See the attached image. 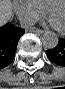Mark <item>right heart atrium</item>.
<instances>
[{
  "instance_id": "d8ad5b80",
  "label": "right heart atrium",
  "mask_w": 65,
  "mask_h": 89,
  "mask_svg": "<svg viewBox=\"0 0 65 89\" xmlns=\"http://www.w3.org/2000/svg\"><path fill=\"white\" fill-rule=\"evenodd\" d=\"M13 5L17 16L26 25L36 22L45 12V8L35 0H15Z\"/></svg>"
}]
</instances>
